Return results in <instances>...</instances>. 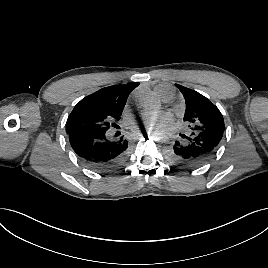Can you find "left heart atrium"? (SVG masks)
I'll list each match as a JSON object with an SVG mask.
<instances>
[{
    "label": "left heart atrium",
    "mask_w": 268,
    "mask_h": 268,
    "mask_svg": "<svg viewBox=\"0 0 268 268\" xmlns=\"http://www.w3.org/2000/svg\"><path fill=\"white\" fill-rule=\"evenodd\" d=\"M172 120V116L169 113H163L161 115H151L149 113H146L144 115V122L148 127L154 126V125H165L169 123Z\"/></svg>",
    "instance_id": "obj_1"
}]
</instances>
